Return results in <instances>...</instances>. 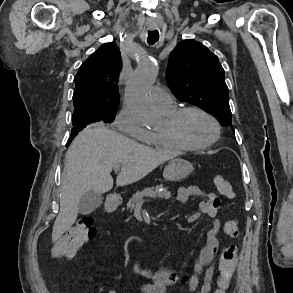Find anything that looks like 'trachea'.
<instances>
[{
  "mask_svg": "<svg viewBox=\"0 0 293 293\" xmlns=\"http://www.w3.org/2000/svg\"><path fill=\"white\" fill-rule=\"evenodd\" d=\"M159 40V32L157 30L155 31H148V43L153 45Z\"/></svg>",
  "mask_w": 293,
  "mask_h": 293,
  "instance_id": "1",
  "label": "trachea"
}]
</instances>
